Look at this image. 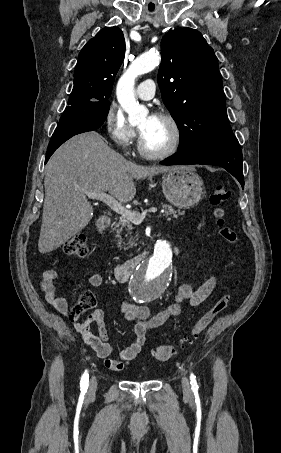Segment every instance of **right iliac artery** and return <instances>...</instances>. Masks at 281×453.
<instances>
[{"label":"right iliac artery","mask_w":281,"mask_h":453,"mask_svg":"<svg viewBox=\"0 0 281 453\" xmlns=\"http://www.w3.org/2000/svg\"><path fill=\"white\" fill-rule=\"evenodd\" d=\"M88 385H89V374H88L87 370H85L84 374L81 377L80 390L87 391Z\"/></svg>","instance_id":"obj_1"}]
</instances>
